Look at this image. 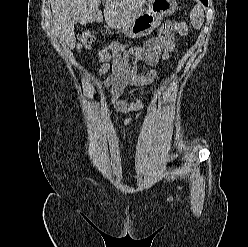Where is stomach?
Returning a JSON list of instances; mask_svg holds the SVG:
<instances>
[{
  "mask_svg": "<svg viewBox=\"0 0 248 247\" xmlns=\"http://www.w3.org/2000/svg\"><path fill=\"white\" fill-rule=\"evenodd\" d=\"M176 9L175 0H148L146 8L118 29L132 38L145 37L160 25L163 17L172 15Z\"/></svg>",
  "mask_w": 248,
  "mask_h": 247,
  "instance_id": "0dacf381",
  "label": "stomach"
}]
</instances>
